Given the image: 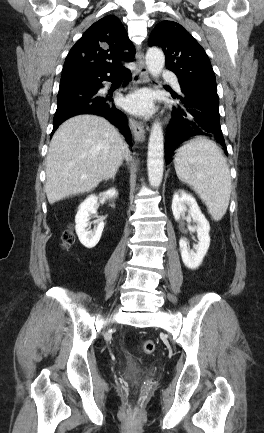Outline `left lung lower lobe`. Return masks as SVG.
Returning <instances> with one entry per match:
<instances>
[{"mask_svg":"<svg viewBox=\"0 0 264 433\" xmlns=\"http://www.w3.org/2000/svg\"><path fill=\"white\" fill-rule=\"evenodd\" d=\"M179 105L173 108L165 138V159L168 163L173 151L194 136H205L226 149L222 134L217 91L206 87L181 86V95L172 93Z\"/></svg>","mask_w":264,"mask_h":433,"instance_id":"obj_1","label":"left lung lower lobe"}]
</instances>
